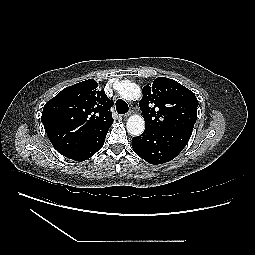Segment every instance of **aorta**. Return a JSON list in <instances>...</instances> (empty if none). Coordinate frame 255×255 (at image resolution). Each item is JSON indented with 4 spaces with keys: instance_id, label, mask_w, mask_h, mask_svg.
Instances as JSON below:
<instances>
[{
    "instance_id": "aorta-1",
    "label": "aorta",
    "mask_w": 255,
    "mask_h": 255,
    "mask_svg": "<svg viewBox=\"0 0 255 255\" xmlns=\"http://www.w3.org/2000/svg\"><path fill=\"white\" fill-rule=\"evenodd\" d=\"M119 95L124 100L135 101L141 96L140 87L129 81H122L118 88ZM127 131L133 136H139L145 129V121L140 115H131L127 120Z\"/></svg>"
}]
</instances>
